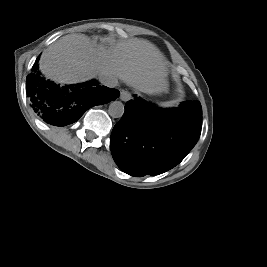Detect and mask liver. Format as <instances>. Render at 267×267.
<instances>
[{
	"mask_svg": "<svg viewBox=\"0 0 267 267\" xmlns=\"http://www.w3.org/2000/svg\"><path fill=\"white\" fill-rule=\"evenodd\" d=\"M41 72L59 83H79L108 73L144 93L166 86V63L156 46L131 39L106 48L84 34H69L46 48L40 58Z\"/></svg>",
	"mask_w": 267,
	"mask_h": 267,
	"instance_id": "obj_1",
	"label": "liver"
}]
</instances>
